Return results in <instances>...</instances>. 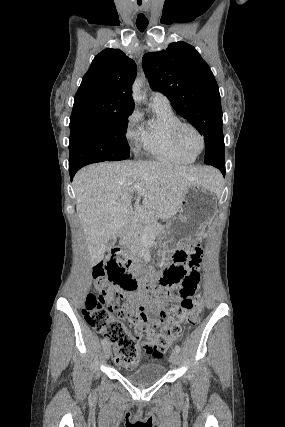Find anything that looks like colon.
Masks as SVG:
<instances>
[{
	"label": "colon",
	"instance_id": "5ec220e1",
	"mask_svg": "<svg viewBox=\"0 0 285 427\" xmlns=\"http://www.w3.org/2000/svg\"><path fill=\"white\" fill-rule=\"evenodd\" d=\"M185 250H176L173 263L150 281L141 283L132 273V261L112 253L106 263L93 268L92 281L96 293H87L82 312L89 326L102 333L113 345L118 364L134 368L144 352L161 360L171 342L182 334L181 323L194 328L204 307L195 295L199 274H191L183 263L196 254V246L186 243ZM181 286L183 296L171 304L163 315L165 324L149 325L150 301L162 290ZM116 314V316H115ZM132 328L133 333L129 329Z\"/></svg>",
	"mask_w": 285,
	"mask_h": 427
}]
</instances>
